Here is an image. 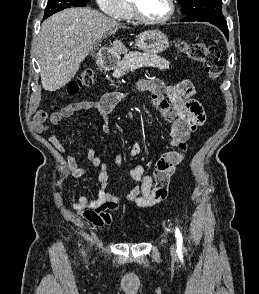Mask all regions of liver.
Listing matches in <instances>:
<instances>
[{"label": "liver", "mask_w": 259, "mask_h": 294, "mask_svg": "<svg viewBox=\"0 0 259 294\" xmlns=\"http://www.w3.org/2000/svg\"><path fill=\"white\" fill-rule=\"evenodd\" d=\"M119 28L120 23L89 7L70 8L46 19L36 44L42 87L46 91L64 87L98 41ZM112 46L118 53L128 51L120 40Z\"/></svg>", "instance_id": "obj_1"}]
</instances>
